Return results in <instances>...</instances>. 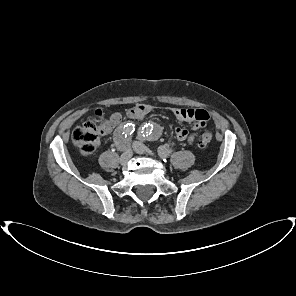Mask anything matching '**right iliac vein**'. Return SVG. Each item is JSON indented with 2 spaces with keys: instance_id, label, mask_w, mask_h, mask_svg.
<instances>
[{
  "instance_id": "obj_1",
  "label": "right iliac vein",
  "mask_w": 296,
  "mask_h": 296,
  "mask_svg": "<svg viewBox=\"0 0 296 296\" xmlns=\"http://www.w3.org/2000/svg\"><path fill=\"white\" fill-rule=\"evenodd\" d=\"M132 155H133L132 150L129 148V145H128V147L125 149V151L120 157V162L123 164L127 163L131 159Z\"/></svg>"
}]
</instances>
